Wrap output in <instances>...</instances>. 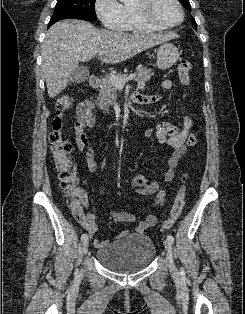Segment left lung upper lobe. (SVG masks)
<instances>
[{
  "instance_id": "5c2ea615",
  "label": "left lung upper lobe",
  "mask_w": 245,
  "mask_h": 314,
  "mask_svg": "<svg viewBox=\"0 0 245 314\" xmlns=\"http://www.w3.org/2000/svg\"><path fill=\"white\" fill-rule=\"evenodd\" d=\"M179 1L185 8H189V10H191L189 0H179ZM192 24L194 25L195 28H197V23L193 17H192Z\"/></svg>"
}]
</instances>
